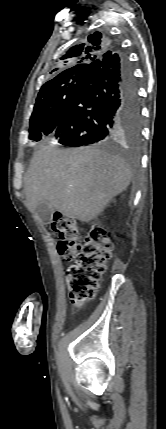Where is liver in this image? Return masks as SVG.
Segmentation results:
<instances>
[{
	"mask_svg": "<svg viewBox=\"0 0 166 429\" xmlns=\"http://www.w3.org/2000/svg\"><path fill=\"white\" fill-rule=\"evenodd\" d=\"M131 178L124 159L99 147L48 145L36 152L25 175L27 207L46 203L66 217L89 222L126 190Z\"/></svg>",
	"mask_w": 166,
	"mask_h": 429,
	"instance_id": "1",
	"label": "liver"
}]
</instances>
